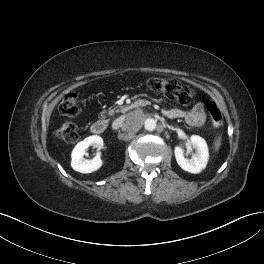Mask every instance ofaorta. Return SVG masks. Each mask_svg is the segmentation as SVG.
Segmentation results:
<instances>
[{"instance_id": "obj_1", "label": "aorta", "mask_w": 264, "mask_h": 264, "mask_svg": "<svg viewBox=\"0 0 264 264\" xmlns=\"http://www.w3.org/2000/svg\"><path fill=\"white\" fill-rule=\"evenodd\" d=\"M144 127L147 131H154L157 127V122L153 118H148L144 121Z\"/></svg>"}]
</instances>
